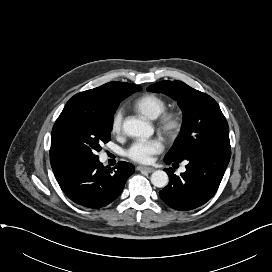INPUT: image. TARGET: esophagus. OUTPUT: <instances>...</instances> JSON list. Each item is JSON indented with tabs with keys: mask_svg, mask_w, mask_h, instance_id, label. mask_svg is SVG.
Returning <instances> with one entry per match:
<instances>
[{
	"mask_svg": "<svg viewBox=\"0 0 272 272\" xmlns=\"http://www.w3.org/2000/svg\"><path fill=\"white\" fill-rule=\"evenodd\" d=\"M137 170H139V171H146V172H148V173H151V172H153L155 169L152 168V167L138 166V167H137Z\"/></svg>",
	"mask_w": 272,
	"mask_h": 272,
	"instance_id": "1",
	"label": "esophagus"
}]
</instances>
